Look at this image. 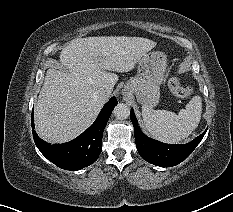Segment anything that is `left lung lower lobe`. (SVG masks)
<instances>
[{
    "mask_svg": "<svg viewBox=\"0 0 233 212\" xmlns=\"http://www.w3.org/2000/svg\"><path fill=\"white\" fill-rule=\"evenodd\" d=\"M130 118L134 126L136 147L141 157L147 162L161 166L171 167L185 160L202 140L206 131L191 142L184 145L165 144L147 137L140 129L133 109Z\"/></svg>",
    "mask_w": 233,
    "mask_h": 212,
    "instance_id": "left-lung-lower-lobe-1",
    "label": "left lung lower lobe"
}]
</instances>
